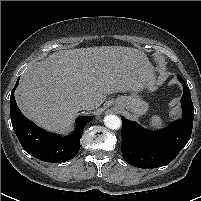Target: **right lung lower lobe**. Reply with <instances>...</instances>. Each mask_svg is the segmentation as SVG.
I'll return each instance as SVG.
<instances>
[{
	"instance_id": "98d812e1",
	"label": "right lung lower lobe",
	"mask_w": 201,
	"mask_h": 201,
	"mask_svg": "<svg viewBox=\"0 0 201 201\" xmlns=\"http://www.w3.org/2000/svg\"><path fill=\"white\" fill-rule=\"evenodd\" d=\"M18 84L19 78L10 96V115L13 129L23 149L31 156L45 162L60 163L74 158L80 149L83 129L93 116L77 118L76 129L66 137L47 132L21 113L14 97V90Z\"/></svg>"
}]
</instances>
